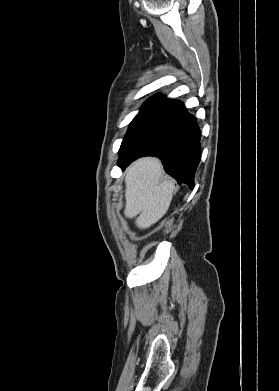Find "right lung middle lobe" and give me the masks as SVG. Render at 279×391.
<instances>
[{
  "instance_id": "1",
  "label": "right lung middle lobe",
  "mask_w": 279,
  "mask_h": 391,
  "mask_svg": "<svg viewBox=\"0 0 279 391\" xmlns=\"http://www.w3.org/2000/svg\"><path fill=\"white\" fill-rule=\"evenodd\" d=\"M161 111L162 110L158 109H142L130 123L121 147L129 144L138 137L147 127H149Z\"/></svg>"
}]
</instances>
